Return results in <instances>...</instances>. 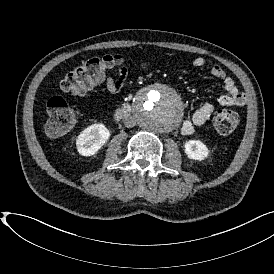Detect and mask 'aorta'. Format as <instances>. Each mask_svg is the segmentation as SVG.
<instances>
[{"label": "aorta", "mask_w": 274, "mask_h": 274, "mask_svg": "<svg viewBox=\"0 0 274 274\" xmlns=\"http://www.w3.org/2000/svg\"><path fill=\"white\" fill-rule=\"evenodd\" d=\"M133 112L140 126L155 132L172 131L183 116L180 97L164 85L142 91L133 103Z\"/></svg>", "instance_id": "obj_1"}]
</instances>
